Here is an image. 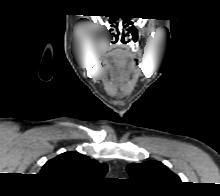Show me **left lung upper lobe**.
I'll use <instances>...</instances> for the list:
<instances>
[{
    "mask_svg": "<svg viewBox=\"0 0 220 196\" xmlns=\"http://www.w3.org/2000/svg\"><path fill=\"white\" fill-rule=\"evenodd\" d=\"M133 181L142 185L171 188L181 183L180 178L158 161L131 164L127 167Z\"/></svg>",
    "mask_w": 220,
    "mask_h": 196,
    "instance_id": "5c2ea615",
    "label": "left lung upper lobe"
}]
</instances>
